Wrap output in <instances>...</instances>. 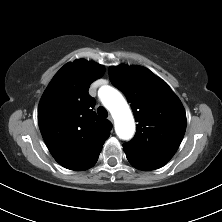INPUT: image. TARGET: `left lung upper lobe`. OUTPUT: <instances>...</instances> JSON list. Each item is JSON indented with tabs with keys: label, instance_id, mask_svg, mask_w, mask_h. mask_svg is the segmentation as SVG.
<instances>
[{
	"label": "left lung upper lobe",
	"instance_id": "5c2ea615",
	"mask_svg": "<svg viewBox=\"0 0 222 222\" xmlns=\"http://www.w3.org/2000/svg\"><path fill=\"white\" fill-rule=\"evenodd\" d=\"M109 77L131 104L137 125L132 141L124 143L127 159L137 169L164 166L177 151L186 130L184 107L171 88L140 66H111Z\"/></svg>",
	"mask_w": 222,
	"mask_h": 222
}]
</instances>
